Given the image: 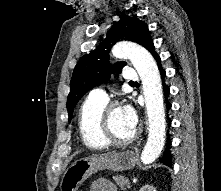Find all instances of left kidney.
I'll return each instance as SVG.
<instances>
[{
    "instance_id": "1",
    "label": "left kidney",
    "mask_w": 221,
    "mask_h": 191,
    "mask_svg": "<svg viewBox=\"0 0 221 191\" xmlns=\"http://www.w3.org/2000/svg\"><path fill=\"white\" fill-rule=\"evenodd\" d=\"M139 191H156V188L151 185H145L142 188H140Z\"/></svg>"
}]
</instances>
